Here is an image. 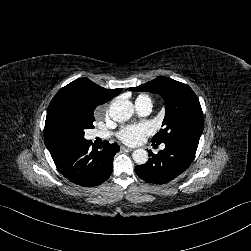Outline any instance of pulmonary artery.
Returning a JSON list of instances; mask_svg holds the SVG:
<instances>
[{
  "label": "pulmonary artery",
  "mask_w": 251,
  "mask_h": 251,
  "mask_svg": "<svg viewBox=\"0 0 251 251\" xmlns=\"http://www.w3.org/2000/svg\"><path fill=\"white\" fill-rule=\"evenodd\" d=\"M135 107L140 115H147L152 111L153 104L151 100L145 99L141 101H136Z\"/></svg>",
  "instance_id": "e3ab8cb5"
}]
</instances>
